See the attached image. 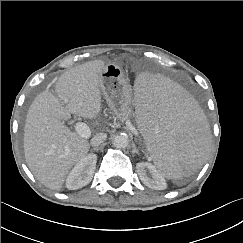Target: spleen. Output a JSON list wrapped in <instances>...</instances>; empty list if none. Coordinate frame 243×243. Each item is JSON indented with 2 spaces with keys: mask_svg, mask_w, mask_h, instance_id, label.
Wrapping results in <instances>:
<instances>
[{
  "mask_svg": "<svg viewBox=\"0 0 243 243\" xmlns=\"http://www.w3.org/2000/svg\"><path fill=\"white\" fill-rule=\"evenodd\" d=\"M131 107L140 142L160 175L181 179L203 162L209 140L205 111L176 80L139 69Z\"/></svg>",
  "mask_w": 243,
  "mask_h": 243,
  "instance_id": "3e777b00",
  "label": "spleen"
}]
</instances>
